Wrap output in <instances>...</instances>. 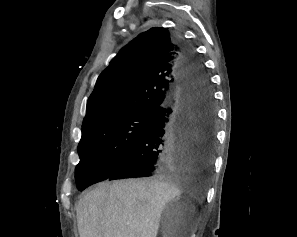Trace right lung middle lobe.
Here are the masks:
<instances>
[{
  "label": "right lung middle lobe",
  "instance_id": "right-lung-middle-lobe-1",
  "mask_svg": "<svg viewBox=\"0 0 297 237\" xmlns=\"http://www.w3.org/2000/svg\"><path fill=\"white\" fill-rule=\"evenodd\" d=\"M154 113L143 111L95 122L82 131L80 162L75 169L79 190L103 177L142 136Z\"/></svg>",
  "mask_w": 297,
  "mask_h": 237
}]
</instances>
